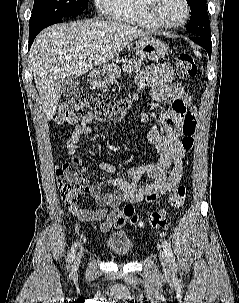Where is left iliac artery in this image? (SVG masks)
Masks as SVG:
<instances>
[{"label": "left iliac artery", "instance_id": "44dca946", "mask_svg": "<svg viewBox=\"0 0 239 303\" xmlns=\"http://www.w3.org/2000/svg\"><path fill=\"white\" fill-rule=\"evenodd\" d=\"M162 245H163L164 253H165V255L168 259L169 265L172 268H175L176 267L175 258H174V255L172 253L170 245L168 244V242L166 240L162 241Z\"/></svg>", "mask_w": 239, "mask_h": 303}]
</instances>
